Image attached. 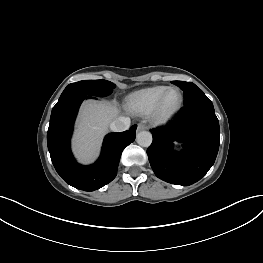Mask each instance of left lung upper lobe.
<instances>
[{"label": "left lung upper lobe", "mask_w": 263, "mask_h": 263, "mask_svg": "<svg viewBox=\"0 0 263 263\" xmlns=\"http://www.w3.org/2000/svg\"><path fill=\"white\" fill-rule=\"evenodd\" d=\"M172 83L179 86L184 91L185 104L206 97L202 90L192 82L172 81Z\"/></svg>", "instance_id": "1"}]
</instances>
